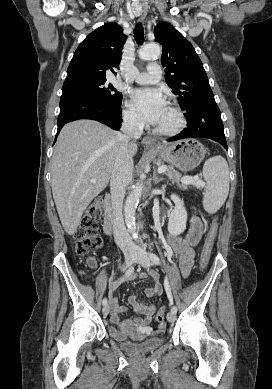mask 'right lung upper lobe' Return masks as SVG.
<instances>
[{
    "instance_id": "cb5924a9",
    "label": "right lung upper lobe",
    "mask_w": 272,
    "mask_h": 389,
    "mask_svg": "<svg viewBox=\"0 0 272 389\" xmlns=\"http://www.w3.org/2000/svg\"><path fill=\"white\" fill-rule=\"evenodd\" d=\"M126 37L115 22L90 33L76 49L64 84L106 79V71L116 74L113 69L119 66Z\"/></svg>"
}]
</instances>
